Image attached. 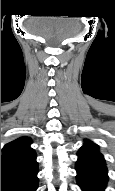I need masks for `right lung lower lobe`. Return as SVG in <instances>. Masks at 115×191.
<instances>
[{
	"mask_svg": "<svg viewBox=\"0 0 115 191\" xmlns=\"http://www.w3.org/2000/svg\"><path fill=\"white\" fill-rule=\"evenodd\" d=\"M38 168L27 173L1 176L2 191H35L38 187Z\"/></svg>",
	"mask_w": 115,
	"mask_h": 191,
	"instance_id": "1",
	"label": "right lung lower lobe"
}]
</instances>
